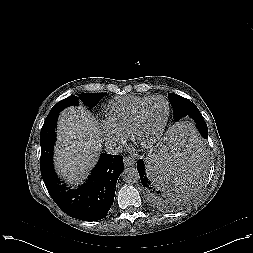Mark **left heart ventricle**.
Masks as SVG:
<instances>
[{
    "label": "left heart ventricle",
    "mask_w": 253,
    "mask_h": 253,
    "mask_svg": "<svg viewBox=\"0 0 253 253\" xmlns=\"http://www.w3.org/2000/svg\"><path fill=\"white\" fill-rule=\"evenodd\" d=\"M167 114V103L163 99H155L149 103L142 113L136 133V139L144 142L155 134L163 124Z\"/></svg>",
    "instance_id": "obj_1"
}]
</instances>
